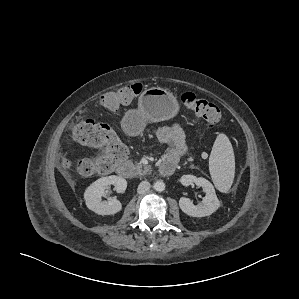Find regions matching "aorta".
Masks as SVG:
<instances>
[{"label":"aorta","instance_id":"762f6f07","mask_svg":"<svg viewBox=\"0 0 299 299\" xmlns=\"http://www.w3.org/2000/svg\"><path fill=\"white\" fill-rule=\"evenodd\" d=\"M153 188L158 192H162L165 190V183L163 181H156Z\"/></svg>","mask_w":299,"mask_h":299}]
</instances>
